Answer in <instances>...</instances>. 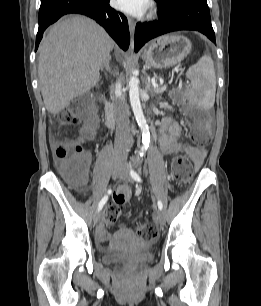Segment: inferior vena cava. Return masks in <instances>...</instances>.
Instances as JSON below:
<instances>
[{
  "instance_id": "inferior-vena-cava-1",
  "label": "inferior vena cava",
  "mask_w": 261,
  "mask_h": 306,
  "mask_svg": "<svg viewBox=\"0 0 261 306\" xmlns=\"http://www.w3.org/2000/svg\"><path fill=\"white\" fill-rule=\"evenodd\" d=\"M111 100L114 107L117 131L124 136H128L130 131L129 108L119 80L116 81L115 86L111 87ZM117 152L126 156L129 152V146L123 143L118 146Z\"/></svg>"
}]
</instances>
